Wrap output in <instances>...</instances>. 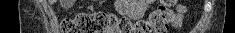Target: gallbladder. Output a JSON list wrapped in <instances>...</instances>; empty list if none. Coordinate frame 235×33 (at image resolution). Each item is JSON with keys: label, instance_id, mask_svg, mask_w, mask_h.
<instances>
[{"label": "gallbladder", "instance_id": "gallbladder-1", "mask_svg": "<svg viewBox=\"0 0 235 33\" xmlns=\"http://www.w3.org/2000/svg\"><path fill=\"white\" fill-rule=\"evenodd\" d=\"M66 2H68V3L64 4V6L65 7H70V4H69L70 0H67Z\"/></svg>", "mask_w": 235, "mask_h": 33}]
</instances>
